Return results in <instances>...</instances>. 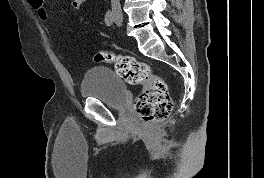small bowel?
Instances as JSON below:
<instances>
[{"mask_svg": "<svg viewBox=\"0 0 264 178\" xmlns=\"http://www.w3.org/2000/svg\"><path fill=\"white\" fill-rule=\"evenodd\" d=\"M87 2V0H71V8L73 10H80L83 5Z\"/></svg>", "mask_w": 264, "mask_h": 178, "instance_id": "small-bowel-1", "label": "small bowel"}]
</instances>
